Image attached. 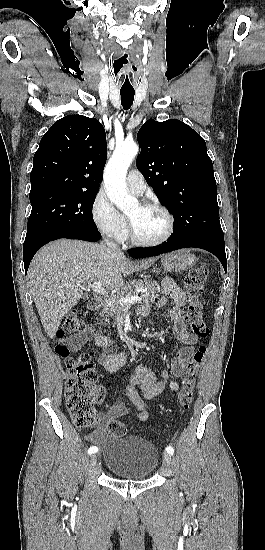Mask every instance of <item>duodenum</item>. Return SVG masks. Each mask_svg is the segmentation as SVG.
Masks as SVG:
<instances>
[{"mask_svg":"<svg viewBox=\"0 0 265 550\" xmlns=\"http://www.w3.org/2000/svg\"><path fill=\"white\" fill-rule=\"evenodd\" d=\"M103 305V300L100 297H93L88 303V308L90 311L96 312L101 309Z\"/></svg>","mask_w":265,"mask_h":550,"instance_id":"obj_1","label":"duodenum"}]
</instances>
